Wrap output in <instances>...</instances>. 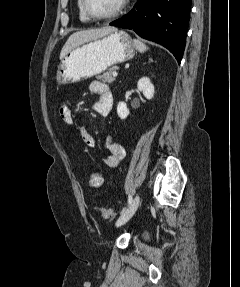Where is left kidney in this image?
Wrapping results in <instances>:
<instances>
[{
	"label": "left kidney",
	"instance_id": "5707ae66",
	"mask_svg": "<svg viewBox=\"0 0 240 287\" xmlns=\"http://www.w3.org/2000/svg\"><path fill=\"white\" fill-rule=\"evenodd\" d=\"M137 88L140 90L146 99L150 100L154 96V85L151 83L150 79L148 77H142L137 82ZM117 114L121 119L127 118L129 115V110L127 108L126 103L119 102L117 105Z\"/></svg>",
	"mask_w": 240,
	"mask_h": 287
}]
</instances>
